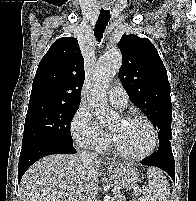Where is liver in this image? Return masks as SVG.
Listing matches in <instances>:
<instances>
[{
	"label": "liver",
	"instance_id": "1",
	"mask_svg": "<svg viewBox=\"0 0 196 201\" xmlns=\"http://www.w3.org/2000/svg\"><path fill=\"white\" fill-rule=\"evenodd\" d=\"M123 166L107 164L109 172ZM100 162L53 154L34 163L20 182L21 201H92L98 191Z\"/></svg>",
	"mask_w": 196,
	"mask_h": 201
}]
</instances>
